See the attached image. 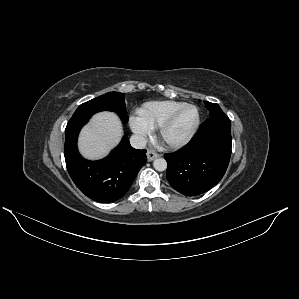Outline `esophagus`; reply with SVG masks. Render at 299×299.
Wrapping results in <instances>:
<instances>
[{
	"label": "esophagus",
	"instance_id": "34e87169",
	"mask_svg": "<svg viewBox=\"0 0 299 299\" xmlns=\"http://www.w3.org/2000/svg\"><path fill=\"white\" fill-rule=\"evenodd\" d=\"M157 157H159V154L156 153L155 151H153V150H148L147 151V159H148L149 162L154 160Z\"/></svg>",
	"mask_w": 299,
	"mask_h": 299
}]
</instances>
